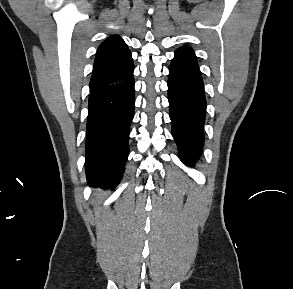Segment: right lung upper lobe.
Listing matches in <instances>:
<instances>
[{"label": "right lung upper lobe", "mask_w": 293, "mask_h": 289, "mask_svg": "<svg viewBox=\"0 0 293 289\" xmlns=\"http://www.w3.org/2000/svg\"><path fill=\"white\" fill-rule=\"evenodd\" d=\"M134 64L127 45L118 36H110L98 48L90 91L118 83L133 74Z\"/></svg>", "instance_id": "cb5924a9"}]
</instances>
